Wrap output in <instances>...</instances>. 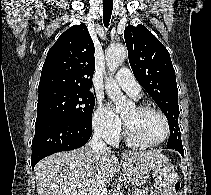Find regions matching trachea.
<instances>
[{
	"instance_id": "3493384b",
	"label": "trachea",
	"mask_w": 211,
	"mask_h": 195,
	"mask_svg": "<svg viewBox=\"0 0 211 195\" xmlns=\"http://www.w3.org/2000/svg\"><path fill=\"white\" fill-rule=\"evenodd\" d=\"M112 10H113L112 1L103 2V23L106 28L109 26Z\"/></svg>"
}]
</instances>
